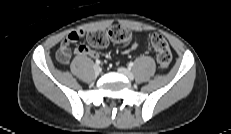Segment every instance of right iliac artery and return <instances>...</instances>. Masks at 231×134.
Returning a JSON list of instances; mask_svg holds the SVG:
<instances>
[{
  "instance_id": "right-iliac-artery-1",
  "label": "right iliac artery",
  "mask_w": 231,
  "mask_h": 134,
  "mask_svg": "<svg viewBox=\"0 0 231 134\" xmlns=\"http://www.w3.org/2000/svg\"><path fill=\"white\" fill-rule=\"evenodd\" d=\"M95 63H96L97 65H99L101 62H100V60H96Z\"/></svg>"
}]
</instances>
